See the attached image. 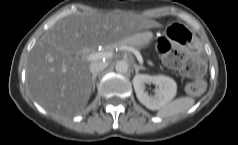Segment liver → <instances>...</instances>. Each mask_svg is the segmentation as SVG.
<instances>
[{"mask_svg":"<svg viewBox=\"0 0 238 145\" xmlns=\"http://www.w3.org/2000/svg\"><path fill=\"white\" fill-rule=\"evenodd\" d=\"M158 26L153 20L119 11L75 12L57 21L30 52L26 80L32 96L52 114L79 113L92 92L89 64L79 55Z\"/></svg>","mask_w":238,"mask_h":145,"instance_id":"6515ba94","label":"liver"}]
</instances>
